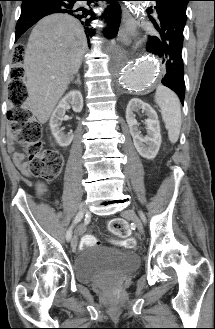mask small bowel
Masks as SVG:
<instances>
[{"mask_svg":"<svg viewBox=\"0 0 215 329\" xmlns=\"http://www.w3.org/2000/svg\"><path fill=\"white\" fill-rule=\"evenodd\" d=\"M10 151L12 153V156H13V159H14V162L16 163V165L18 166V168L24 173V174H28V166H27V163L24 162L23 160V155L19 152H16L14 150V147L13 145L10 146ZM36 190H37V193L38 195H43L46 190H47V187L44 183H38L36 185ZM84 231V227H81L79 228V232H83Z\"/></svg>","mask_w":215,"mask_h":329,"instance_id":"c3829d8e","label":"small bowel"}]
</instances>
